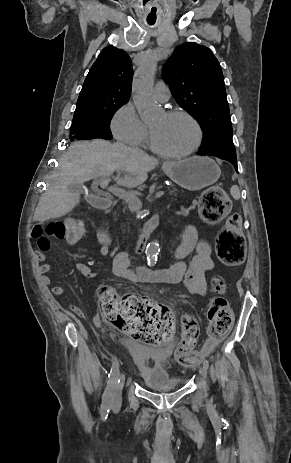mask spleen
<instances>
[{
	"label": "spleen",
	"instance_id": "1",
	"mask_svg": "<svg viewBox=\"0 0 291 463\" xmlns=\"http://www.w3.org/2000/svg\"><path fill=\"white\" fill-rule=\"evenodd\" d=\"M230 193L234 199L236 200L240 199V190L238 186L236 185L232 186L230 189Z\"/></svg>",
	"mask_w": 291,
	"mask_h": 463
}]
</instances>
